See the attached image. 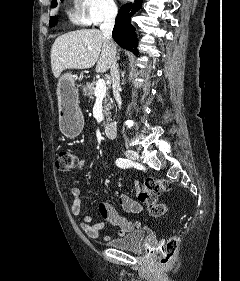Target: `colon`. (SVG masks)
Returning <instances> with one entry per match:
<instances>
[{
  "label": "colon",
  "mask_w": 240,
  "mask_h": 281,
  "mask_svg": "<svg viewBox=\"0 0 240 281\" xmlns=\"http://www.w3.org/2000/svg\"><path fill=\"white\" fill-rule=\"evenodd\" d=\"M78 158L71 150H63L59 153L56 167L62 172H68L77 167ZM171 183L167 180L148 178L137 191L138 200L146 204L153 217H161L167 213V206L158 202V195L171 190ZM179 239L176 236L169 237L157 248L161 264H168L177 253Z\"/></svg>",
  "instance_id": "5ec220e1"
}]
</instances>
